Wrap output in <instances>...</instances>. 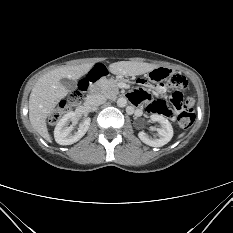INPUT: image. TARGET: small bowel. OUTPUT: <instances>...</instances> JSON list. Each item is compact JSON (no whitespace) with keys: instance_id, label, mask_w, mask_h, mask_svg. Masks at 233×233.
I'll return each instance as SVG.
<instances>
[{"instance_id":"small-bowel-1","label":"small bowel","mask_w":233,"mask_h":233,"mask_svg":"<svg viewBox=\"0 0 233 233\" xmlns=\"http://www.w3.org/2000/svg\"><path fill=\"white\" fill-rule=\"evenodd\" d=\"M165 90H166V88L162 87V86L157 87V89H156L157 93H159V94H163L165 92ZM147 97H148V90H144V89L135 91L134 93L131 94V99L134 103H139V102L147 99ZM147 110L152 112L149 105L147 107ZM135 113L139 115L141 113V111L139 109H136Z\"/></svg>"}]
</instances>
